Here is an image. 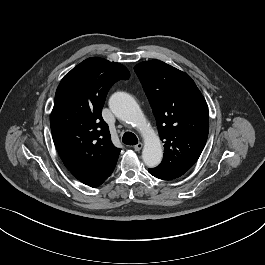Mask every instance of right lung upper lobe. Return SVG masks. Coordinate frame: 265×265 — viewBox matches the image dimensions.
Wrapping results in <instances>:
<instances>
[{
  "mask_svg": "<svg viewBox=\"0 0 265 265\" xmlns=\"http://www.w3.org/2000/svg\"><path fill=\"white\" fill-rule=\"evenodd\" d=\"M130 73L123 65L92 57L60 82L51 114L54 144L66 168L76 177L94 176L118 158L101 112L107 92Z\"/></svg>",
  "mask_w": 265,
  "mask_h": 265,
  "instance_id": "1",
  "label": "right lung upper lobe"
}]
</instances>
